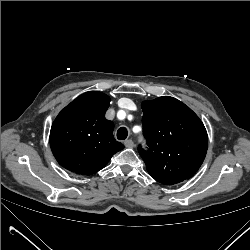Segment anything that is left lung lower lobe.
Returning <instances> with one entry per match:
<instances>
[{"instance_id":"left-lung-lower-lobe-1","label":"left lung lower lobe","mask_w":250,"mask_h":250,"mask_svg":"<svg viewBox=\"0 0 250 250\" xmlns=\"http://www.w3.org/2000/svg\"><path fill=\"white\" fill-rule=\"evenodd\" d=\"M158 182L163 183V184H166V185L176 184V183L173 182V181H158Z\"/></svg>"}]
</instances>
